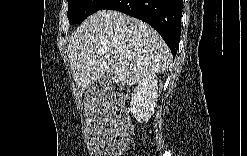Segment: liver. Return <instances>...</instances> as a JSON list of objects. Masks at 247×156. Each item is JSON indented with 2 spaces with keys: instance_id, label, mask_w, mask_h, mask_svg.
I'll use <instances>...</instances> for the list:
<instances>
[{
  "instance_id": "liver-1",
  "label": "liver",
  "mask_w": 247,
  "mask_h": 156,
  "mask_svg": "<svg viewBox=\"0 0 247 156\" xmlns=\"http://www.w3.org/2000/svg\"><path fill=\"white\" fill-rule=\"evenodd\" d=\"M72 76L81 92L108 75L113 83L133 85L148 74L169 69L172 55L148 24L114 10L86 19L68 37Z\"/></svg>"
}]
</instances>
